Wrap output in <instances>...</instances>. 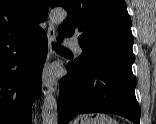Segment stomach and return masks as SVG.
Instances as JSON below:
<instances>
[{
    "label": "stomach",
    "mask_w": 156,
    "mask_h": 124,
    "mask_svg": "<svg viewBox=\"0 0 156 124\" xmlns=\"http://www.w3.org/2000/svg\"><path fill=\"white\" fill-rule=\"evenodd\" d=\"M71 124H117L106 115H97L95 118L88 116H80L76 118Z\"/></svg>",
    "instance_id": "0dacf381"
}]
</instances>
